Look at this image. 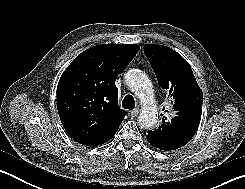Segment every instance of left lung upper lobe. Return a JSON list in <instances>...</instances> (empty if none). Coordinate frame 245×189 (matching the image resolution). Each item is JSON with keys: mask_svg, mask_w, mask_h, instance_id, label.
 <instances>
[{"mask_svg": "<svg viewBox=\"0 0 245 189\" xmlns=\"http://www.w3.org/2000/svg\"><path fill=\"white\" fill-rule=\"evenodd\" d=\"M144 53L161 88L169 92L168 97L173 104L170 118L164 116L157 129L149 130L147 140L161 150L178 149L187 144L197 131L202 114V90L190 64L173 49L146 44Z\"/></svg>", "mask_w": 245, "mask_h": 189, "instance_id": "5c2ea615", "label": "left lung upper lobe"}]
</instances>
